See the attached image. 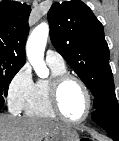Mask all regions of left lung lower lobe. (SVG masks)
I'll use <instances>...</instances> for the list:
<instances>
[{"label":"left lung lower lobe","instance_id":"left-lung-lower-lobe-1","mask_svg":"<svg viewBox=\"0 0 119 141\" xmlns=\"http://www.w3.org/2000/svg\"><path fill=\"white\" fill-rule=\"evenodd\" d=\"M92 119L101 126L114 141H119V105L116 98L96 109L92 113Z\"/></svg>","mask_w":119,"mask_h":141}]
</instances>
